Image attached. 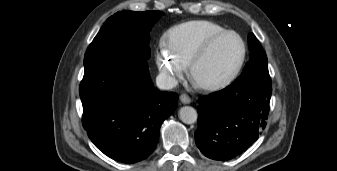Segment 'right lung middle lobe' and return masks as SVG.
Segmentation results:
<instances>
[{"mask_svg": "<svg viewBox=\"0 0 337 171\" xmlns=\"http://www.w3.org/2000/svg\"><path fill=\"white\" fill-rule=\"evenodd\" d=\"M163 14L160 11L117 12L106 20L89 45L84 65L100 56L120 52L149 59V32Z\"/></svg>", "mask_w": 337, "mask_h": 171, "instance_id": "dd1d6c3e", "label": "right lung middle lobe"}]
</instances>
